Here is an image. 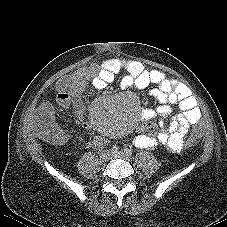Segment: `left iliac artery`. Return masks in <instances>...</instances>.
<instances>
[{
	"instance_id": "left-iliac-artery-1",
	"label": "left iliac artery",
	"mask_w": 227,
	"mask_h": 227,
	"mask_svg": "<svg viewBox=\"0 0 227 227\" xmlns=\"http://www.w3.org/2000/svg\"><path fill=\"white\" fill-rule=\"evenodd\" d=\"M124 152L128 153L129 155H131L133 153V151L128 148L124 149Z\"/></svg>"
}]
</instances>
